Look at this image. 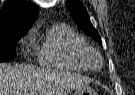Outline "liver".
<instances>
[{
	"mask_svg": "<svg viewBox=\"0 0 135 95\" xmlns=\"http://www.w3.org/2000/svg\"><path fill=\"white\" fill-rule=\"evenodd\" d=\"M88 83L70 72L0 63V95H66Z\"/></svg>",
	"mask_w": 135,
	"mask_h": 95,
	"instance_id": "liver-1",
	"label": "liver"
}]
</instances>
